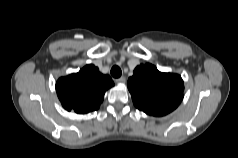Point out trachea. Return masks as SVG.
I'll use <instances>...</instances> for the list:
<instances>
[{
  "label": "trachea",
  "mask_w": 238,
  "mask_h": 158,
  "mask_svg": "<svg viewBox=\"0 0 238 158\" xmlns=\"http://www.w3.org/2000/svg\"><path fill=\"white\" fill-rule=\"evenodd\" d=\"M122 74V71L121 69L118 67V66H113L112 69H111V75L114 77V78H119Z\"/></svg>",
  "instance_id": "trachea-1"
}]
</instances>
